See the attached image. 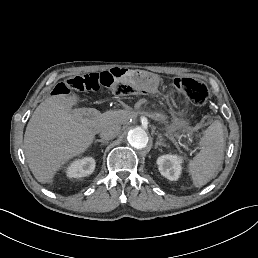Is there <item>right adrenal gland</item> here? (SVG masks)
<instances>
[{"mask_svg": "<svg viewBox=\"0 0 258 258\" xmlns=\"http://www.w3.org/2000/svg\"><path fill=\"white\" fill-rule=\"evenodd\" d=\"M95 142H100L102 144H108V141L103 140V139H97V140H95Z\"/></svg>", "mask_w": 258, "mask_h": 258, "instance_id": "2a0ac1e0", "label": "right adrenal gland"}]
</instances>
